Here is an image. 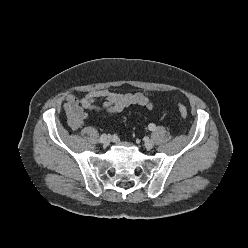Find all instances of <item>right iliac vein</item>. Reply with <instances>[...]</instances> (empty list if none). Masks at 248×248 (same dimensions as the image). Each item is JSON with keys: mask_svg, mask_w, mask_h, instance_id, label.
I'll list each match as a JSON object with an SVG mask.
<instances>
[{"mask_svg": "<svg viewBox=\"0 0 248 248\" xmlns=\"http://www.w3.org/2000/svg\"><path fill=\"white\" fill-rule=\"evenodd\" d=\"M110 141H111V138H110L109 136H106L105 139H104L103 145H104V146H108L109 143H110Z\"/></svg>", "mask_w": 248, "mask_h": 248, "instance_id": "63e3f726", "label": "right iliac vein"}]
</instances>
